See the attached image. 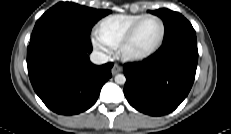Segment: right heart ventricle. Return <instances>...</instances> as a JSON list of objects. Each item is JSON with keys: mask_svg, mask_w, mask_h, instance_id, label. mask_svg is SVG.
<instances>
[{"mask_svg": "<svg viewBox=\"0 0 231 134\" xmlns=\"http://www.w3.org/2000/svg\"><path fill=\"white\" fill-rule=\"evenodd\" d=\"M145 14H115L103 18L96 26L97 37L108 47L116 48L132 25Z\"/></svg>", "mask_w": 231, "mask_h": 134, "instance_id": "e07e8e85", "label": "right heart ventricle"}]
</instances>
